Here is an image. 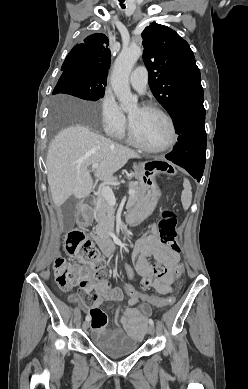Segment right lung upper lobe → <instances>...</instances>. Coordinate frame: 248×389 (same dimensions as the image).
<instances>
[{"label": "right lung upper lobe", "instance_id": "1", "mask_svg": "<svg viewBox=\"0 0 248 389\" xmlns=\"http://www.w3.org/2000/svg\"><path fill=\"white\" fill-rule=\"evenodd\" d=\"M108 43L109 40L104 34L96 33L88 36L69 52L61 70H81L88 72L94 78L107 81L111 62Z\"/></svg>", "mask_w": 248, "mask_h": 389}]
</instances>
